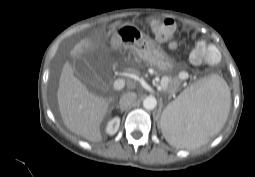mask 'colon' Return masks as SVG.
<instances>
[{"label": "colon", "mask_w": 255, "mask_h": 177, "mask_svg": "<svg viewBox=\"0 0 255 177\" xmlns=\"http://www.w3.org/2000/svg\"><path fill=\"white\" fill-rule=\"evenodd\" d=\"M150 25L154 35L160 41H169L174 35L175 23L171 19L154 18ZM218 58L217 48L203 40L198 41L190 53V61L196 65L216 63Z\"/></svg>", "instance_id": "5ec220e1"}]
</instances>
